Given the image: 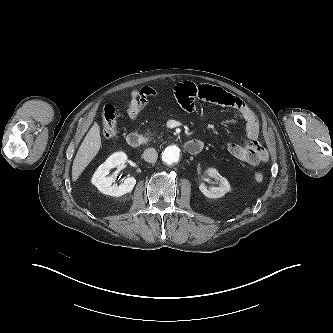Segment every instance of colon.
<instances>
[{
    "label": "colon",
    "mask_w": 333,
    "mask_h": 333,
    "mask_svg": "<svg viewBox=\"0 0 333 333\" xmlns=\"http://www.w3.org/2000/svg\"><path fill=\"white\" fill-rule=\"evenodd\" d=\"M100 121L103 133L106 137L111 138L117 134V116L112 105H106L100 115ZM254 180L261 183L264 180V175L260 172L254 174Z\"/></svg>",
    "instance_id": "obj_1"
}]
</instances>
